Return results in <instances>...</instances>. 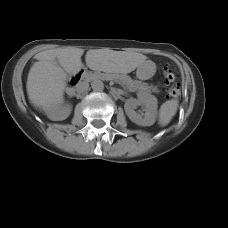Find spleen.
<instances>
[{"instance_id": "spleen-1", "label": "spleen", "mask_w": 228, "mask_h": 228, "mask_svg": "<svg viewBox=\"0 0 228 228\" xmlns=\"http://www.w3.org/2000/svg\"><path fill=\"white\" fill-rule=\"evenodd\" d=\"M178 106H179L178 98H173L171 100H168L161 105L158 113V123L160 126L164 127L171 122V120L177 113Z\"/></svg>"}]
</instances>
